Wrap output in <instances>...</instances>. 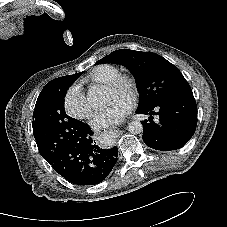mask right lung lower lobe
I'll return each instance as SVG.
<instances>
[{
  "instance_id": "1",
  "label": "right lung lower lobe",
  "mask_w": 227,
  "mask_h": 227,
  "mask_svg": "<svg viewBox=\"0 0 227 227\" xmlns=\"http://www.w3.org/2000/svg\"><path fill=\"white\" fill-rule=\"evenodd\" d=\"M73 140L58 154L48 159L57 173L76 185H94L102 182L117 162L118 148L102 149L93 142L92 131L79 121Z\"/></svg>"
}]
</instances>
